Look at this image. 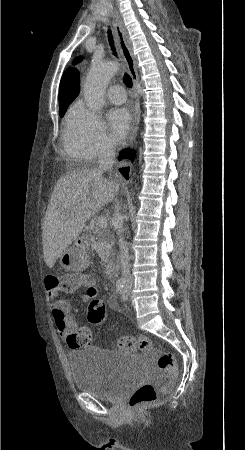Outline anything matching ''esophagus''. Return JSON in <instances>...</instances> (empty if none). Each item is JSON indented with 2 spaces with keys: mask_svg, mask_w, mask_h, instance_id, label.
<instances>
[{
  "mask_svg": "<svg viewBox=\"0 0 245 450\" xmlns=\"http://www.w3.org/2000/svg\"><path fill=\"white\" fill-rule=\"evenodd\" d=\"M114 19V28L116 33V41L118 44V47L120 49V52L126 62V65L128 67L129 73L131 75L132 81H133V95L135 98V110H134V117L132 122V127L129 133V137L126 143V146L133 145L138 129L140 124V115H141V109H140V99L139 94L137 90V82L139 80L138 72H137V65L136 61L133 55L132 51V45L129 41L127 30L116 12L113 16Z\"/></svg>",
  "mask_w": 245,
  "mask_h": 450,
  "instance_id": "1",
  "label": "esophagus"
}]
</instances>
